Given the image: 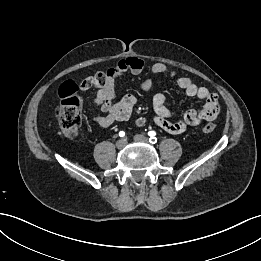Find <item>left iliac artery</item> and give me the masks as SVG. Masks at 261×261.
Here are the masks:
<instances>
[{
	"label": "left iliac artery",
	"instance_id": "1",
	"mask_svg": "<svg viewBox=\"0 0 261 261\" xmlns=\"http://www.w3.org/2000/svg\"><path fill=\"white\" fill-rule=\"evenodd\" d=\"M148 135L150 136L149 142L155 144L157 142V138L155 137L156 133L154 131H149Z\"/></svg>",
	"mask_w": 261,
	"mask_h": 261
}]
</instances>
